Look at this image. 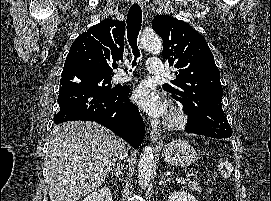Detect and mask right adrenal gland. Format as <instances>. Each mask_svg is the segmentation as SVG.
Instances as JSON below:
<instances>
[{"label": "right adrenal gland", "mask_w": 271, "mask_h": 201, "mask_svg": "<svg viewBox=\"0 0 271 201\" xmlns=\"http://www.w3.org/2000/svg\"><path fill=\"white\" fill-rule=\"evenodd\" d=\"M122 170H123V165H119L117 164L116 167H113V170L111 172H109L108 175H111V176H116V177H119L121 174H122ZM107 175V177H108Z\"/></svg>", "instance_id": "right-adrenal-gland-1"}]
</instances>
